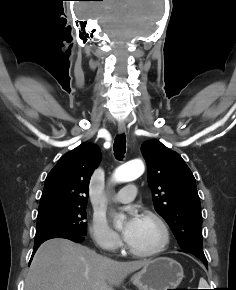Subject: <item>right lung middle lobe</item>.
Instances as JSON below:
<instances>
[{
	"instance_id": "obj_1",
	"label": "right lung middle lobe",
	"mask_w": 236,
	"mask_h": 290,
	"mask_svg": "<svg viewBox=\"0 0 236 290\" xmlns=\"http://www.w3.org/2000/svg\"><path fill=\"white\" fill-rule=\"evenodd\" d=\"M85 206H51L39 209L35 242L59 235L85 236Z\"/></svg>"
}]
</instances>
